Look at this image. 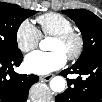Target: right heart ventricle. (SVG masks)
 <instances>
[{"label":"right heart ventricle","instance_id":"right-heart-ventricle-1","mask_svg":"<svg viewBox=\"0 0 102 102\" xmlns=\"http://www.w3.org/2000/svg\"><path fill=\"white\" fill-rule=\"evenodd\" d=\"M41 32L46 36H57L74 29L73 22L59 13H46L37 17Z\"/></svg>","mask_w":102,"mask_h":102}]
</instances>
